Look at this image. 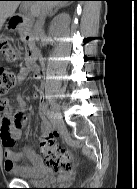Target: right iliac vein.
I'll use <instances>...</instances> for the list:
<instances>
[{"mask_svg": "<svg viewBox=\"0 0 137 189\" xmlns=\"http://www.w3.org/2000/svg\"><path fill=\"white\" fill-rule=\"evenodd\" d=\"M52 114H53V123L55 126H57L61 122L62 116L59 108L56 105L52 106Z\"/></svg>", "mask_w": 137, "mask_h": 189, "instance_id": "right-iliac-vein-1", "label": "right iliac vein"}]
</instances>
